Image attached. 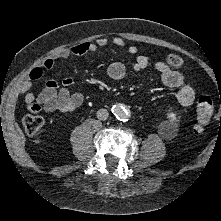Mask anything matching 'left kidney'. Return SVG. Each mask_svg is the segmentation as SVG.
Instances as JSON below:
<instances>
[{
    "instance_id": "obj_1",
    "label": "left kidney",
    "mask_w": 221,
    "mask_h": 221,
    "mask_svg": "<svg viewBox=\"0 0 221 221\" xmlns=\"http://www.w3.org/2000/svg\"><path fill=\"white\" fill-rule=\"evenodd\" d=\"M168 118H169V120L171 121V122H175L176 121V113H174V112H170V113H168Z\"/></svg>"
}]
</instances>
